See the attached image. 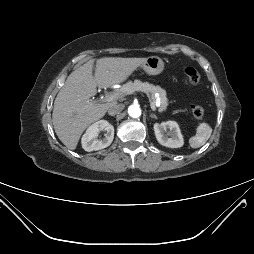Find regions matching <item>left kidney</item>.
<instances>
[{
    "label": "left kidney",
    "instance_id": "5707ae66",
    "mask_svg": "<svg viewBox=\"0 0 254 254\" xmlns=\"http://www.w3.org/2000/svg\"><path fill=\"white\" fill-rule=\"evenodd\" d=\"M154 132L157 141L163 146L169 148H179L184 144L179 125L175 121H167L160 124L155 123Z\"/></svg>",
    "mask_w": 254,
    "mask_h": 254
}]
</instances>
